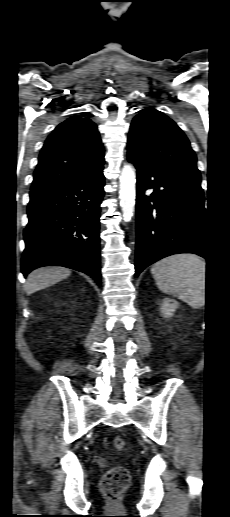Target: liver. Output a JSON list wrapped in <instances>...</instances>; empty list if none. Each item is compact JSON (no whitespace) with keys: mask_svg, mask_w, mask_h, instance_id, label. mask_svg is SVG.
<instances>
[{"mask_svg":"<svg viewBox=\"0 0 230 517\" xmlns=\"http://www.w3.org/2000/svg\"><path fill=\"white\" fill-rule=\"evenodd\" d=\"M71 270L64 267L48 266L32 271L25 283V291L28 295L41 289L52 286L70 276Z\"/></svg>","mask_w":230,"mask_h":517,"instance_id":"1","label":"liver"}]
</instances>
